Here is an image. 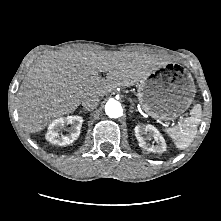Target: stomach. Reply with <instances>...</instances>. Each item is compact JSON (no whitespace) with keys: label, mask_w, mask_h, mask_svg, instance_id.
<instances>
[{"label":"stomach","mask_w":221,"mask_h":221,"mask_svg":"<svg viewBox=\"0 0 221 221\" xmlns=\"http://www.w3.org/2000/svg\"><path fill=\"white\" fill-rule=\"evenodd\" d=\"M195 92L189 73L168 68H157L137 83V97L143 110L160 120H171L184 113Z\"/></svg>","instance_id":"0dacf381"}]
</instances>
